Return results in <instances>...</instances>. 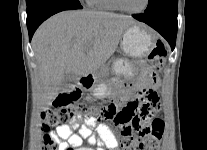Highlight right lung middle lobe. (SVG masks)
Segmentation results:
<instances>
[{"instance_id":"right-lung-middle-lobe-1","label":"right lung middle lobe","mask_w":207,"mask_h":150,"mask_svg":"<svg viewBox=\"0 0 207 150\" xmlns=\"http://www.w3.org/2000/svg\"><path fill=\"white\" fill-rule=\"evenodd\" d=\"M43 1H45V0H26L27 9L35 7V6L39 5L40 3H42ZM71 1L80 3L78 0H71Z\"/></svg>"}]
</instances>
